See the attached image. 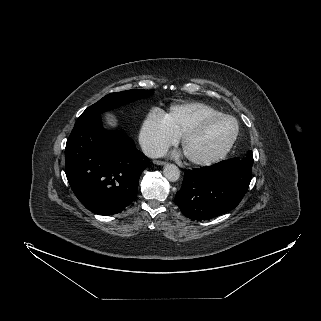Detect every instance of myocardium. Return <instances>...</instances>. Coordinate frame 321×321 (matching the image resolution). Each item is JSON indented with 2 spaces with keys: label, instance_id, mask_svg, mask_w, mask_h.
<instances>
[{
  "label": "myocardium",
  "instance_id": "obj_1",
  "mask_svg": "<svg viewBox=\"0 0 321 321\" xmlns=\"http://www.w3.org/2000/svg\"><path fill=\"white\" fill-rule=\"evenodd\" d=\"M219 119H228L234 123V132H233L231 138L227 141V143L221 148V150L218 153H216L214 156L209 157V158H196V157L186 155L184 153L186 159L191 164L198 165V166H209V165L215 164V163L219 162L220 160H222L228 154V152L231 150V148L233 147V145L236 142V139L238 137V134H239V124H238V121L236 120V118H234L231 115L224 114V113L207 116V117L201 119L200 121H198L196 124H194L193 126L188 128L187 130H185L181 134V136L179 137L180 146L183 149L184 144L186 143V141L189 138L198 134L204 127H206L211 122H213L215 120H219Z\"/></svg>",
  "mask_w": 321,
  "mask_h": 321
}]
</instances>
